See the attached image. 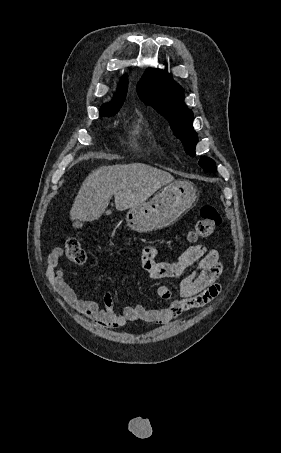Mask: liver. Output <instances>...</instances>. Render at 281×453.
Listing matches in <instances>:
<instances>
[{
	"label": "liver",
	"instance_id": "obj_1",
	"mask_svg": "<svg viewBox=\"0 0 281 453\" xmlns=\"http://www.w3.org/2000/svg\"><path fill=\"white\" fill-rule=\"evenodd\" d=\"M174 176L143 162L112 164L91 170L84 178L70 210L71 220H96L106 210L113 194L117 210L133 208L145 202L160 186Z\"/></svg>",
	"mask_w": 281,
	"mask_h": 453
}]
</instances>
